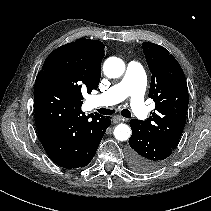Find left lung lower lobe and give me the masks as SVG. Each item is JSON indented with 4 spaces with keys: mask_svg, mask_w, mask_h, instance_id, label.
<instances>
[{
    "mask_svg": "<svg viewBox=\"0 0 211 211\" xmlns=\"http://www.w3.org/2000/svg\"><path fill=\"white\" fill-rule=\"evenodd\" d=\"M132 135L129 139L128 161L137 172L148 173L161 168L173 150L160 139L152 136L139 120L130 121Z\"/></svg>",
    "mask_w": 211,
    "mask_h": 211,
    "instance_id": "0a47b994",
    "label": "left lung lower lobe"
}]
</instances>
